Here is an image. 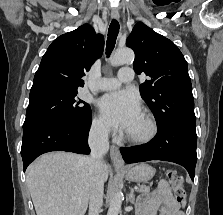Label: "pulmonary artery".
<instances>
[{
	"label": "pulmonary artery",
	"mask_w": 223,
	"mask_h": 215,
	"mask_svg": "<svg viewBox=\"0 0 223 215\" xmlns=\"http://www.w3.org/2000/svg\"><path fill=\"white\" fill-rule=\"evenodd\" d=\"M132 69L127 66V69H119L114 77H104L97 81L96 88L98 90H112L120 87L122 83H128L133 80Z\"/></svg>",
	"instance_id": "pulmonary-artery-1"
}]
</instances>
